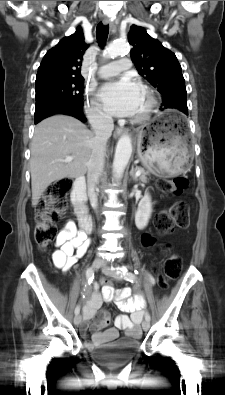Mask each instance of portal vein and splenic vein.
I'll use <instances>...</instances> for the list:
<instances>
[{
  "label": "portal vein and splenic vein",
  "instance_id": "1",
  "mask_svg": "<svg viewBox=\"0 0 225 395\" xmlns=\"http://www.w3.org/2000/svg\"><path fill=\"white\" fill-rule=\"evenodd\" d=\"M72 160H73V157H72V156H68V157H66L63 161H64V162H71ZM140 174H141V171H140V170H137L136 176H140Z\"/></svg>",
  "mask_w": 225,
  "mask_h": 395
}]
</instances>
